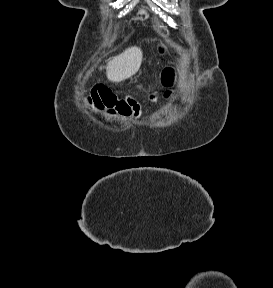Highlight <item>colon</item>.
<instances>
[{
    "label": "colon",
    "mask_w": 273,
    "mask_h": 288,
    "mask_svg": "<svg viewBox=\"0 0 273 288\" xmlns=\"http://www.w3.org/2000/svg\"><path fill=\"white\" fill-rule=\"evenodd\" d=\"M175 82V71L173 68H166L162 73V84L170 89ZM171 91L165 93L169 98ZM89 102L98 109H108L110 112L122 117L137 115L138 106L130 100L122 99L114 94L104 85H98L92 89L89 95Z\"/></svg>",
    "instance_id": "5ec220e1"
}]
</instances>
